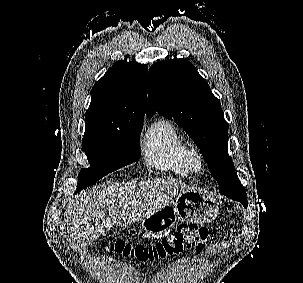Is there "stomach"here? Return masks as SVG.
I'll return each mask as SVG.
<instances>
[{"label":"stomach","mask_w":303,"mask_h":283,"mask_svg":"<svg viewBox=\"0 0 303 283\" xmlns=\"http://www.w3.org/2000/svg\"><path fill=\"white\" fill-rule=\"evenodd\" d=\"M219 205L215 198L192 190L177 196L153 215L142 221L144 235L159 237L171 230L177 221L204 224L214 220Z\"/></svg>","instance_id":"0dacf381"}]
</instances>
